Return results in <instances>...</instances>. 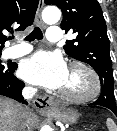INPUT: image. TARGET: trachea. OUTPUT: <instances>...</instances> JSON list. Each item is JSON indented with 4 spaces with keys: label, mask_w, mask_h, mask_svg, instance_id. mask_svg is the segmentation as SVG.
<instances>
[{
    "label": "trachea",
    "mask_w": 117,
    "mask_h": 131,
    "mask_svg": "<svg viewBox=\"0 0 117 131\" xmlns=\"http://www.w3.org/2000/svg\"><path fill=\"white\" fill-rule=\"evenodd\" d=\"M42 38H43V33L41 29L39 27H35L33 31L28 36H26L25 40L31 42L34 41L35 39L40 40Z\"/></svg>",
    "instance_id": "trachea-1"
}]
</instances>
